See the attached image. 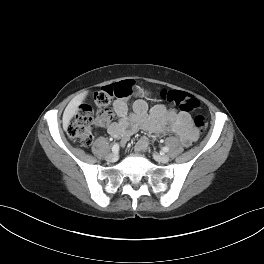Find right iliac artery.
Masks as SVG:
<instances>
[{"instance_id":"1","label":"right iliac artery","mask_w":264,"mask_h":264,"mask_svg":"<svg viewBox=\"0 0 264 264\" xmlns=\"http://www.w3.org/2000/svg\"><path fill=\"white\" fill-rule=\"evenodd\" d=\"M119 151V144L115 143L112 147V152L113 153H117Z\"/></svg>"}]
</instances>
